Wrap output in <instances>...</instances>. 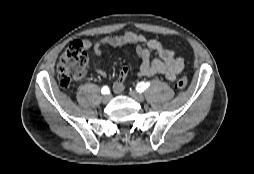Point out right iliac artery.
<instances>
[{"label":"right iliac artery","instance_id":"1","mask_svg":"<svg viewBox=\"0 0 254 174\" xmlns=\"http://www.w3.org/2000/svg\"><path fill=\"white\" fill-rule=\"evenodd\" d=\"M110 92L108 86H104L102 89H101V93L102 94H108Z\"/></svg>","mask_w":254,"mask_h":174}]
</instances>
